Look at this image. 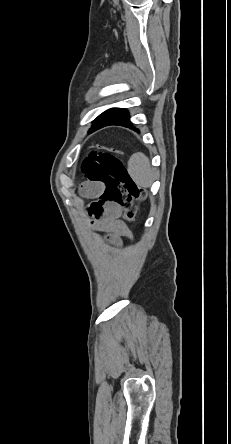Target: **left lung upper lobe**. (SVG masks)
<instances>
[{
  "label": "left lung upper lobe",
  "instance_id": "obj_1",
  "mask_svg": "<svg viewBox=\"0 0 231 444\" xmlns=\"http://www.w3.org/2000/svg\"><path fill=\"white\" fill-rule=\"evenodd\" d=\"M121 110H122V109H120V108H112V109H109V110L103 112L101 115H99V116L93 121V124L98 123V122H100V121H102V120H105V119H107V118H111V117L117 115Z\"/></svg>",
  "mask_w": 231,
  "mask_h": 444
}]
</instances>
